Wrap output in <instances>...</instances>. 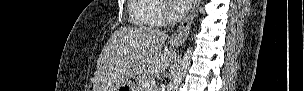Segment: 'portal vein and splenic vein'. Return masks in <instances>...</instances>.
Listing matches in <instances>:
<instances>
[{
  "instance_id": "obj_1",
  "label": "portal vein and splenic vein",
  "mask_w": 304,
  "mask_h": 91,
  "mask_svg": "<svg viewBox=\"0 0 304 91\" xmlns=\"http://www.w3.org/2000/svg\"><path fill=\"white\" fill-rule=\"evenodd\" d=\"M154 85H155L154 80H147L142 85V91H151Z\"/></svg>"
}]
</instances>
